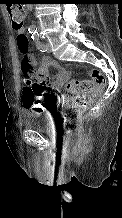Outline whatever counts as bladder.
Masks as SVG:
<instances>
[{
    "label": "bladder",
    "instance_id": "bladder-1",
    "mask_svg": "<svg viewBox=\"0 0 122 218\" xmlns=\"http://www.w3.org/2000/svg\"><path fill=\"white\" fill-rule=\"evenodd\" d=\"M24 125L38 131H46L50 121L43 112H30L24 115Z\"/></svg>",
    "mask_w": 122,
    "mask_h": 218
}]
</instances>
